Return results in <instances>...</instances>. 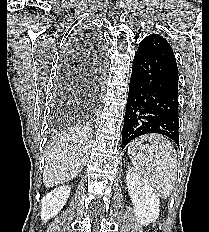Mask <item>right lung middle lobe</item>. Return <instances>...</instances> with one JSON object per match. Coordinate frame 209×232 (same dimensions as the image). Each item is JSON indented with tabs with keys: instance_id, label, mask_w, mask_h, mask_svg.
I'll list each match as a JSON object with an SVG mask.
<instances>
[{
	"instance_id": "right-lung-middle-lobe-1",
	"label": "right lung middle lobe",
	"mask_w": 209,
	"mask_h": 232,
	"mask_svg": "<svg viewBox=\"0 0 209 232\" xmlns=\"http://www.w3.org/2000/svg\"><path fill=\"white\" fill-rule=\"evenodd\" d=\"M55 106L56 107L53 123L56 127L60 128L67 123V119L69 116V108H66L65 99H61V101L57 102Z\"/></svg>"
}]
</instances>
